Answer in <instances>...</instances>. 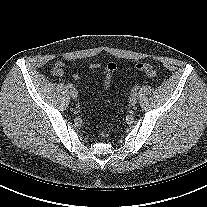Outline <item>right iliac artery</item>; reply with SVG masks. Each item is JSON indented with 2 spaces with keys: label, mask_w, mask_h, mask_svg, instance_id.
<instances>
[{
  "label": "right iliac artery",
  "mask_w": 207,
  "mask_h": 207,
  "mask_svg": "<svg viewBox=\"0 0 207 207\" xmlns=\"http://www.w3.org/2000/svg\"><path fill=\"white\" fill-rule=\"evenodd\" d=\"M67 87L71 89V88H73V85L71 83H68Z\"/></svg>",
  "instance_id": "right-iliac-artery-1"
}]
</instances>
